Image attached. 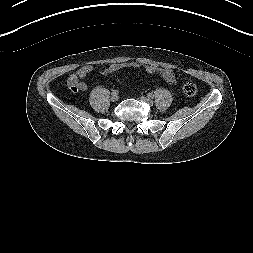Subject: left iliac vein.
Instances as JSON below:
<instances>
[{
    "instance_id": "obj_1",
    "label": "left iliac vein",
    "mask_w": 253,
    "mask_h": 253,
    "mask_svg": "<svg viewBox=\"0 0 253 253\" xmlns=\"http://www.w3.org/2000/svg\"><path fill=\"white\" fill-rule=\"evenodd\" d=\"M141 100L144 102L149 103L150 105H153V101L149 97H141Z\"/></svg>"
}]
</instances>
